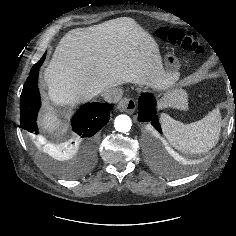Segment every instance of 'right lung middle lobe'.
Listing matches in <instances>:
<instances>
[{"instance_id": "dd1d6c3e", "label": "right lung middle lobe", "mask_w": 236, "mask_h": 236, "mask_svg": "<svg viewBox=\"0 0 236 236\" xmlns=\"http://www.w3.org/2000/svg\"><path fill=\"white\" fill-rule=\"evenodd\" d=\"M31 143L36 151V153L38 154V156L42 159V161L47 164L48 166H51L52 168L55 169V171H57L58 173H60L63 176H74L75 174H77V171H72V170H68L66 169L64 166L55 163L54 161H52L45 153H44V147L37 142L35 139L31 140ZM88 163H92L94 161V156L90 157L89 159H87Z\"/></svg>"}]
</instances>
